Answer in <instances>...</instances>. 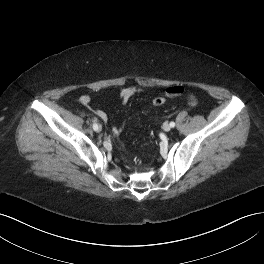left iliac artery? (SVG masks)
Here are the masks:
<instances>
[{
    "label": "left iliac artery",
    "mask_w": 264,
    "mask_h": 264,
    "mask_svg": "<svg viewBox=\"0 0 264 264\" xmlns=\"http://www.w3.org/2000/svg\"><path fill=\"white\" fill-rule=\"evenodd\" d=\"M170 126L174 127L175 126V122H170Z\"/></svg>",
    "instance_id": "44dca946"
}]
</instances>
